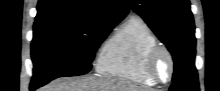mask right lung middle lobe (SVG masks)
<instances>
[{
	"mask_svg": "<svg viewBox=\"0 0 220 91\" xmlns=\"http://www.w3.org/2000/svg\"><path fill=\"white\" fill-rule=\"evenodd\" d=\"M113 28L72 22L34 25L31 83L44 85L56 77L89 72L96 50Z\"/></svg>",
	"mask_w": 220,
	"mask_h": 91,
	"instance_id": "1",
	"label": "right lung middle lobe"
}]
</instances>
